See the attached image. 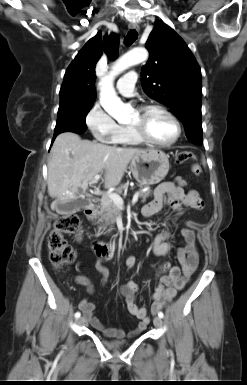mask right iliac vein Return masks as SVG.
Segmentation results:
<instances>
[{
	"label": "right iliac vein",
	"instance_id": "63e3f726",
	"mask_svg": "<svg viewBox=\"0 0 247 385\" xmlns=\"http://www.w3.org/2000/svg\"><path fill=\"white\" fill-rule=\"evenodd\" d=\"M85 321L84 317H80L79 319H77V324L81 325L83 324Z\"/></svg>",
	"mask_w": 247,
	"mask_h": 385
}]
</instances>
